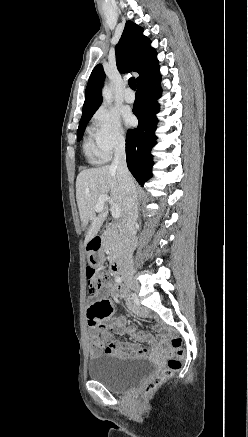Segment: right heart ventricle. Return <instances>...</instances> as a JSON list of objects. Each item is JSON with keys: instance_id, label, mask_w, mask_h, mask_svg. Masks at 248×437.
<instances>
[{"instance_id": "obj_1", "label": "right heart ventricle", "mask_w": 248, "mask_h": 437, "mask_svg": "<svg viewBox=\"0 0 248 437\" xmlns=\"http://www.w3.org/2000/svg\"><path fill=\"white\" fill-rule=\"evenodd\" d=\"M84 150L88 158L92 162H100L103 158L99 155L95 145L93 144L91 138H88L84 143Z\"/></svg>"}]
</instances>
